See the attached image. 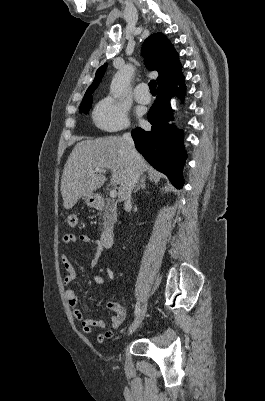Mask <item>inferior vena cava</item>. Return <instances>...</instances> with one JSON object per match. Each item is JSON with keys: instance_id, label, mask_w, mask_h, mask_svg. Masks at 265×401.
I'll use <instances>...</instances> for the list:
<instances>
[{"instance_id": "602c4592", "label": "inferior vena cava", "mask_w": 265, "mask_h": 401, "mask_svg": "<svg viewBox=\"0 0 265 401\" xmlns=\"http://www.w3.org/2000/svg\"><path fill=\"white\" fill-rule=\"evenodd\" d=\"M122 138H123V140H125L129 150H131L132 158H136L137 152H135L134 140H133L130 132H125V134H123ZM139 178H140L139 170H135V168H134V170H131L130 178H129L128 182H126V184L123 188L125 207H128V205H131V192H132L134 186H136Z\"/></svg>"}]
</instances>
